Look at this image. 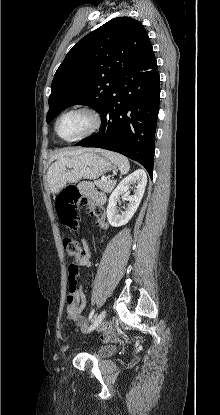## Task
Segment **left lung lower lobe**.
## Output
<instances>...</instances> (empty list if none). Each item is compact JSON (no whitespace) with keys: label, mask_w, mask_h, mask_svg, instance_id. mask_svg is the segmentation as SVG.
<instances>
[{"label":"left lung lower lobe","mask_w":220,"mask_h":415,"mask_svg":"<svg viewBox=\"0 0 220 415\" xmlns=\"http://www.w3.org/2000/svg\"><path fill=\"white\" fill-rule=\"evenodd\" d=\"M159 100V73L153 55L143 66L119 77L100 111V131L76 145L121 153L142 164L152 177Z\"/></svg>","instance_id":"0a47b994"}]
</instances>
